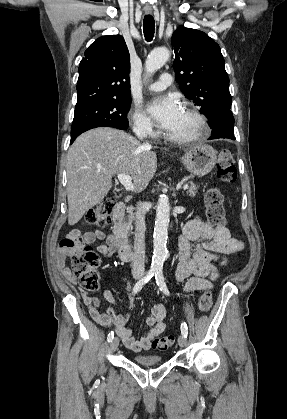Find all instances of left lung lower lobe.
I'll list each match as a JSON object with an SVG mask.
<instances>
[{"instance_id": "0a47b994", "label": "left lung lower lobe", "mask_w": 287, "mask_h": 419, "mask_svg": "<svg viewBox=\"0 0 287 419\" xmlns=\"http://www.w3.org/2000/svg\"><path fill=\"white\" fill-rule=\"evenodd\" d=\"M227 138L235 140L234 136V117L231 111L223 113L218 122L212 127V133L209 140Z\"/></svg>"}]
</instances>
